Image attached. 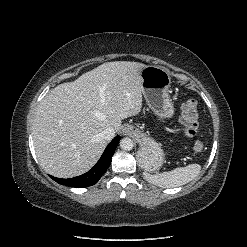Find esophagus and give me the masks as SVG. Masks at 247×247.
I'll return each mask as SVG.
<instances>
[{
  "label": "esophagus",
  "mask_w": 247,
  "mask_h": 247,
  "mask_svg": "<svg viewBox=\"0 0 247 247\" xmlns=\"http://www.w3.org/2000/svg\"><path fill=\"white\" fill-rule=\"evenodd\" d=\"M122 131H123V134L126 135L128 130L127 128H124Z\"/></svg>",
  "instance_id": "obj_1"
}]
</instances>
